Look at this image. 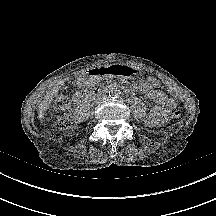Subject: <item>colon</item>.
<instances>
[{
  "label": "colon",
  "mask_w": 216,
  "mask_h": 216,
  "mask_svg": "<svg viewBox=\"0 0 216 216\" xmlns=\"http://www.w3.org/2000/svg\"><path fill=\"white\" fill-rule=\"evenodd\" d=\"M181 111L176 109L170 113V117L178 119ZM55 119L56 125L61 130H71L76 126V121L71 113V101L66 96H58L55 100Z\"/></svg>",
  "instance_id": "colon-1"
}]
</instances>
